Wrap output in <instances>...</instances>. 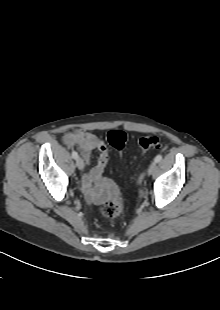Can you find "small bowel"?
Listing matches in <instances>:
<instances>
[{"mask_svg": "<svg viewBox=\"0 0 220 310\" xmlns=\"http://www.w3.org/2000/svg\"><path fill=\"white\" fill-rule=\"evenodd\" d=\"M63 142L68 147H77L84 164L89 165L91 153L98 151L97 163L82 176V191L86 200L93 204H101L111 195L114 183L102 177L108 162V150L103 141L95 134L73 129L63 135Z\"/></svg>", "mask_w": 220, "mask_h": 310, "instance_id": "1", "label": "small bowel"}]
</instances>
